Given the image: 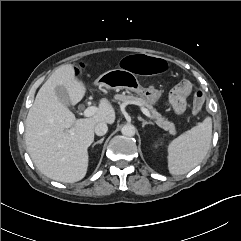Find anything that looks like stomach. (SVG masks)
Masks as SVG:
<instances>
[{
	"instance_id": "0dacf381",
	"label": "stomach",
	"mask_w": 241,
	"mask_h": 241,
	"mask_svg": "<svg viewBox=\"0 0 241 241\" xmlns=\"http://www.w3.org/2000/svg\"><path fill=\"white\" fill-rule=\"evenodd\" d=\"M101 89H127L140 95L150 104L154 105L162 96V90L154 87L144 88L140 85L136 74L123 68L105 72L95 81Z\"/></svg>"
}]
</instances>
